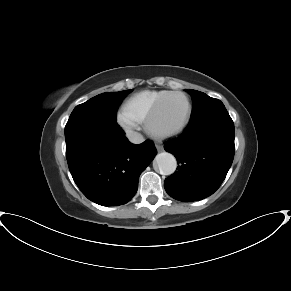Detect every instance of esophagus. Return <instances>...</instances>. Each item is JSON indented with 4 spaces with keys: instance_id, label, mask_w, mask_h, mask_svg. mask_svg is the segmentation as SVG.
I'll return each mask as SVG.
<instances>
[{
    "instance_id": "esophagus-1",
    "label": "esophagus",
    "mask_w": 291,
    "mask_h": 291,
    "mask_svg": "<svg viewBox=\"0 0 291 291\" xmlns=\"http://www.w3.org/2000/svg\"><path fill=\"white\" fill-rule=\"evenodd\" d=\"M155 147H156L157 151H159V152L164 150V147L160 144H156Z\"/></svg>"
}]
</instances>
